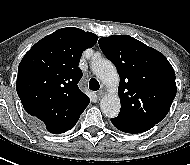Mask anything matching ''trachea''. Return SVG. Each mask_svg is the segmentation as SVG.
I'll return each mask as SVG.
<instances>
[{
    "mask_svg": "<svg viewBox=\"0 0 190 165\" xmlns=\"http://www.w3.org/2000/svg\"><path fill=\"white\" fill-rule=\"evenodd\" d=\"M99 88H100L99 82L95 78H91L89 81V89L97 91L99 90Z\"/></svg>",
    "mask_w": 190,
    "mask_h": 165,
    "instance_id": "3493384b",
    "label": "trachea"
}]
</instances>
